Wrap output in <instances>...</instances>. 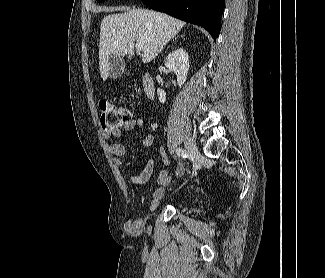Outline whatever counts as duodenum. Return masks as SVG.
Returning a JSON list of instances; mask_svg holds the SVG:
<instances>
[{"mask_svg": "<svg viewBox=\"0 0 325 278\" xmlns=\"http://www.w3.org/2000/svg\"><path fill=\"white\" fill-rule=\"evenodd\" d=\"M143 89L148 98H153L155 95V83L151 75L146 74L143 79Z\"/></svg>", "mask_w": 325, "mask_h": 278, "instance_id": "obj_1", "label": "duodenum"}]
</instances>
